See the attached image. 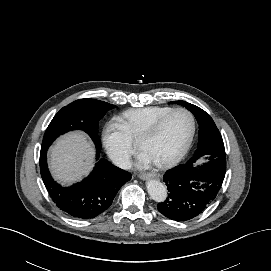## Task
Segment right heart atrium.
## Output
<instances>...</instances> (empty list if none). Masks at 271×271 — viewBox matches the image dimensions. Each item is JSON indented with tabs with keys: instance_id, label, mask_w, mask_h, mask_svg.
Listing matches in <instances>:
<instances>
[{
	"instance_id": "1",
	"label": "right heart atrium",
	"mask_w": 271,
	"mask_h": 271,
	"mask_svg": "<svg viewBox=\"0 0 271 271\" xmlns=\"http://www.w3.org/2000/svg\"><path fill=\"white\" fill-rule=\"evenodd\" d=\"M102 142L108 156L118 165L126 167L137 147L123 128L114 122L108 123L102 131Z\"/></svg>"
}]
</instances>
